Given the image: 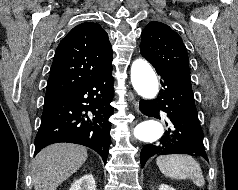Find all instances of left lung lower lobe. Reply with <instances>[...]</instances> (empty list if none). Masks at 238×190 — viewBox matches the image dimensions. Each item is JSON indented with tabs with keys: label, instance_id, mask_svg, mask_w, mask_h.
Returning <instances> with one entry per match:
<instances>
[{
	"label": "left lung lower lobe",
	"instance_id": "obj_1",
	"mask_svg": "<svg viewBox=\"0 0 238 190\" xmlns=\"http://www.w3.org/2000/svg\"><path fill=\"white\" fill-rule=\"evenodd\" d=\"M153 67L162 78L163 89L156 100H141L139 108L146 116L165 118L170 128L161 139L142 148L141 166L155 154H195L208 160L203 145V131L194 103L190 74Z\"/></svg>",
	"mask_w": 238,
	"mask_h": 190
}]
</instances>
